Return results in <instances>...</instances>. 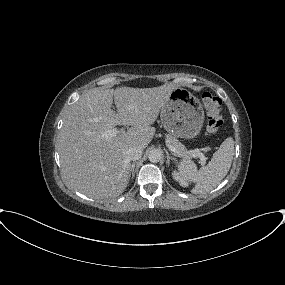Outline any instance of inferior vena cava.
Returning <instances> with one entry per match:
<instances>
[{
  "instance_id": "602c4592",
  "label": "inferior vena cava",
  "mask_w": 285,
  "mask_h": 285,
  "mask_svg": "<svg viewBox=\"0 0 285 285\" xmlns=\"http://www.w3.org/2000/svg\"><path fill=\"white\" fill-rule=\"evenodd\" d=\"M129 160L136 161L142 157L143 149L141 147H131L126 151Z\"/></svg>"
}]
</instances>
